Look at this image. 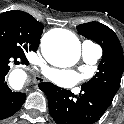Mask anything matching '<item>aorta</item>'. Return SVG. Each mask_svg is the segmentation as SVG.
I'll list each match as a JSON object with an SVG mask.
<instances>
[{"mask_svg": "<svg viewBox=\"0 0 124 124\" xmlns=\"http://www.w3.org/2000/svg\"><path fill=\"white\" fill-rule=\"evenodd\" d=\"M41 52L44 58L54 66L69 67L74 65L81 54V45L78 38L70 31L53 29L44 34L41 39ZM24 78L22 71H13Z\"/></svg>", "mask_w": 124, "mask_h": 124, "instance_id": "1", "label": "aorta"}]
</instances>
